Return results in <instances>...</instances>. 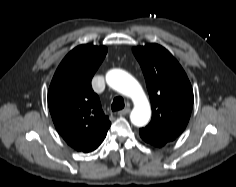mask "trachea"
<instances>
[{"label": "trachea", "mask_w": 236, "mask_h": 187, "mask_svg": "<svg viewBox=\"0 0 236 187\" xmlns=\"http://www.w3.org/2000/svg\"><path fill=\"white\" fill-rule=\"evenodd\" d=\"M125 106L124 100L122 97L118 96L115 97L112 104H111V109L112 111H118L123 109Z\"/></svg>", "instance_id": "3493384b"}]
</instances>
